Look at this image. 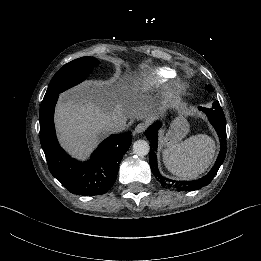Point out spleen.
<instances>
[{
	"label": "spleen",
	"instance_id": "obj_1",
	"mask_svg": "<svg viewBox=\"0 0 261 261\" xmlns=\"http://www.w3.org/2000/svg\"><path fill=\"white\" fill-rule=\"evenodd\" d=\"M163 155L165 165L177 177L194 178L211 163L214 155L213 141L203 134L192 135L168 147Z\"/></svg>",
	"mask_w": 261,
	"mask_h": 261
}]
</instances>
